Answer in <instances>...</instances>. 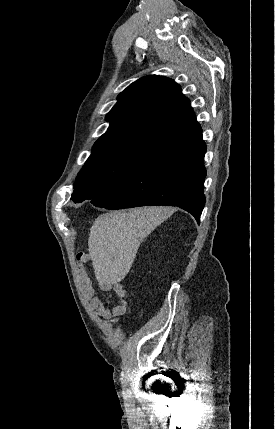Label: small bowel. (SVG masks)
Wrapping results in <instances>:
<instances>
[{"label": "small bowel", "instance_id": "obj_1", "mask_svg": "<svg viewBox=\"0 0 275 429\" xmlns=\"http://www.w3.org/2000/svg\"><path fill=\"white\" fill-rule=\"evenodd\" d=\"M79 279H80V291L82 297L88 301L90 308L99 316L109 319L122 314L125 310L124 302L114 307H107L101 298L96 295L94 288L92 287L89 278L87 277L83 263L79 265ZM111 288L121 297H125V290L118 283L113 284Z\"/></svg>", "mask_w": 275, "mask_h": 429}]
</instances>
